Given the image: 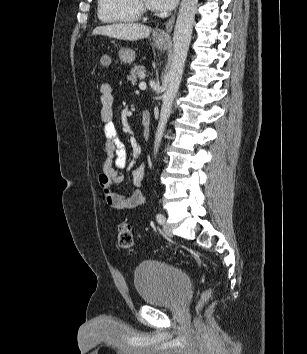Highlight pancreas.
Instances as JSON below:
<instances>
[{
	"mask_svg": "<svg viewBox=\"0 0 307 354\" xmlns=\"http://www.w3.org/2000/svg\"><path fill=\"white\" fill-rule=\"evenodd\" d=\"M145 67L136 65L132 68L127 76V79L131 81L133 85H136L137 82L145 77Z\"/></svg>",
	"mask_w": 307,
	"mask_h": 354,
	"instance_id": "1",
	"label": "pancreas"
}]
</instances>
